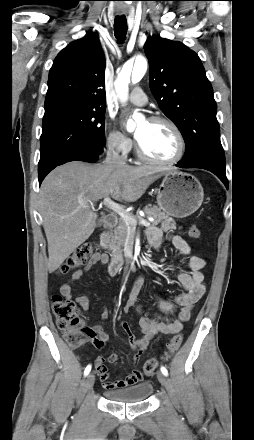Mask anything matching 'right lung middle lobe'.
<instances>
[{
    "mask_svg": "<svg viewBox=\"0 0 254 440\" xmlns=\"http://www.w3.org/2000/svg\"><path fill=\"white\" fill-rule=\"evenodd\" d=\"M105 109L73 103L45 108L38 175L73 154L100 153L104 145Z\"/></svg>",
    "mask_w": 254,
    "mask_h": 440,
    "instance_id": "obj_1",
    "label": "right lung middle lobe"
}]
</instances>
